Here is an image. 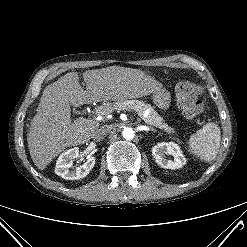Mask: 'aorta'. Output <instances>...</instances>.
I'll return each mask as SVG.
<instances>
[{
  "mask_svg": "<svg viewBox=\"0 0 247 247\" xmlns=\"http://www.w3.org/2000/svg\"><path fill=\"white\" fill-rule=\"evenodd\" d=\"M122 135L126 140H132L135 137V132L132 128L126 127L124 128Z\"/></svg>",
  "mask_w": 247,
  "mask_h": 247,
  "instance_id": "1",
  "label": "aorta"
}]
</instances>
